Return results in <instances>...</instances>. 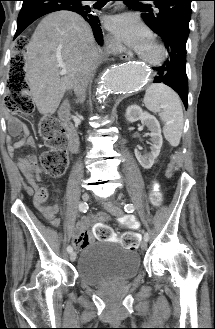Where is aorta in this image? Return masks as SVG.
Here are the masks:
<instances>
[{
	"mask_svg": "<svg viewBox=\"0 0 215 329\" xmlns=\"http://www.w3.org/2000/svg\"><path fill=\"white\" fill-rule=\"evenodd\" d=\"M147 71L137 63H115L108 67L97 84L100 100L110 94L139 90L147 80Z\"/></svg>",
	"mask_w": 215,
	"mask_h": 329,
	"instance_id": "762f6f07",
	"label": "aorta"
}]
</instances>
